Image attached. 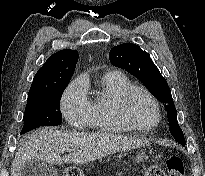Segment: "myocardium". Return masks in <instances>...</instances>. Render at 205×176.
I'll return each instance as SVG.
<instances>
[{"instance_id":"f54148a6","label":"myocardium","mask_w":205,"mask_h":176,"mask_svg":"<svg viewBox=\"0 0 205 176\" xmlns=\"http://www.w3.org/2000/svg\"><path fill=\"white\" fill-rule=\"evenodd\" d=\"M136 93L144 94L150 100V102L152 103V105L154 107L156 118H155L154 123H152L151 125L137 124V123L133 122L129 116L128 103H129L130 99L132 98V96ZM118 114H119L121 120L130 129L137 130V131H147L151 128H154L160 124L161 119H162L161 108H160L159 102H158L157 98L154 96V94L145 87L134 86V85H132L131 87L126 89L120 95V97L118 99Z\"/></svg>"}]
</instances>
